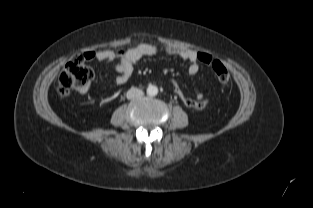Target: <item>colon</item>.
I'll return each instance as SVG.
<instances>
[{
	"label": "colon",
	"instance_id": "1",
	"mask_svg": "<svg viewBox=\"0 0 313 208\" xmlns=\"http://www.w3.org/2000/svg\"><path fill=\"white\" fill-rule=\"evenodd\" d=\"M198 59L201 63L210 65L216 74L218 81L226 85L230 81V74L225 65L210 54L198 52ZM88 57L81 54L72 58L64 67L58 80V93L61 96H67L72 90H82L86 88L93 79V71L86 64ZM175 93L182 103L192 109H203L207 105V100L199 101L189 97L186 92L175 85Z\"/></svg>",
	"mask_w": 313,
	"mask_h": 208
}]
</instances>
